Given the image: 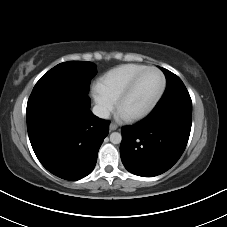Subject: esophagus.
<instances>
[{
  "instance_id": "1",
  "label": "esophagus",
  "mask_w": 227,
  "mask_h": 227,
  "mask_svg": "<svg viewBox=\"0 0 227 227\" xmlns=\"http://www.w3.org/2000/svg\"><path fill=\"white\" fill-rule=\"evenodd\" d=\"M118 128V125L116 124V123H111L110 125H109V130L110 131H114V130H116Z\"/></svg>"
}]
</instances>
